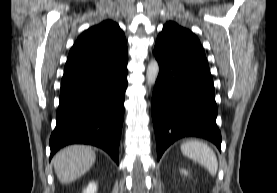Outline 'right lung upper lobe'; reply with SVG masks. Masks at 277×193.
<instances>
[{
  "label": "right lung upper lobe",
  "instance_id": "1",
  "mask_svg": "<svg viewBox=\"0 0 277 193\" xmlns=\"http://www.w3.org/2000/svg\"><path fill=\"white\" fill-rule=\"evenodd\" d=\"M126 52V39L118 24L103 21L78 37L69 52L64 76L97 69Z\"/></svg>",
  "mask_w": 277,
  "mask_h": 193
}]
</instances>
